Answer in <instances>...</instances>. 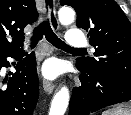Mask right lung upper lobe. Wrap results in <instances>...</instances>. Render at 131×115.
<instances>
[{
	"label": "right lung upper lobe",
	"instance_id": "1",
	"mask_svg": "<svg viewBox=\"0 0 131 115\" xmlns=\"http://www.w3.org/2000/svg\"><path fill=\"white\" fill-rule=\"evenodd\" d=\"M37 18L35 0H0V55L22 49L23 30Z\"/></svg>",
	"mask_w": 131,
	"mask_h": 115
}]
</instances>
